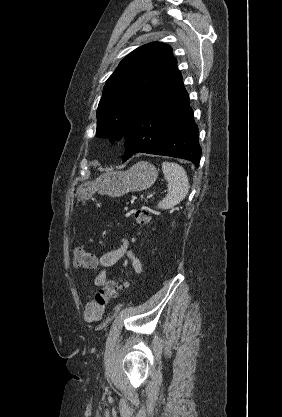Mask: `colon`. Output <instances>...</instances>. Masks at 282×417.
I'll return each mask as SVG.
<instances>
[{"label": "colon", "instance_id": "obj_1", "mask_svg": "<svg viewBox=\"0 0 282 417\" xmlns=\"http://www.w3.org/2000/svg\"><path fill=\"white\" fill-rule=\"evenodd\" d=\"M134 221L147 225L151 223V216L144 210L136 209L131 213ZM74 265L78 268L93 269L95 267V258L93 254L83 248L75 249ZM128 281L124 278L106 280L101 283L99 290L94 296V305L103 310L109 300L116 297L118 292L127 287Z\"/></svg>", "mask_w": 282, "mask_h": 417}]
</instances>
